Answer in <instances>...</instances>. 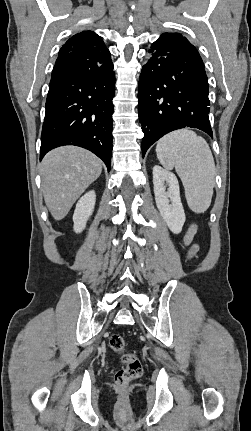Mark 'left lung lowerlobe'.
Segmentation results:
<instances>
[{
  "instance_id": "0a47b994",
  "label": "left lung lower lobe",
  "mask_w": 251,
  "mask_h": 431,
  "mask_svg": "<svg viewBox=\"0 0 251 431\" xmlns=\"http://www.w3.org/2000/svg\"><path fill=\"white\" fill-rule=\"evenodd\" d=\"M138 89L143 156L154 142L176 129L198 128L213 137L204 64L181 34L164 33L152 44Z\"/></svg>"
}]
</instances>
